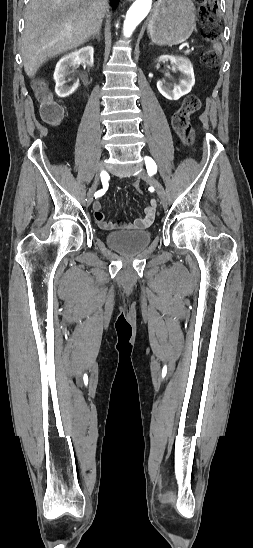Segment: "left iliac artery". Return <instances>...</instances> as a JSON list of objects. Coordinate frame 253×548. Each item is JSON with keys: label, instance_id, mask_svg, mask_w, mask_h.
I'll return each mask as SVG.
<instances>
[{"label": "left iliac artery", "instance_id": "1", "mask_svg": "<svg viewBox=\"0 0 253 548\" xmlns=\"http://www.w3.org/2000/svg\"><path fill=\"white\" fill-rule=\"evenodd\" d=\"M145 164H146L148 174L152 175L156 173L157 166L151 157H148V156L145 157Z\"/></svg>", "mask_w": 253, "mask_h": 548}]
</instances>
